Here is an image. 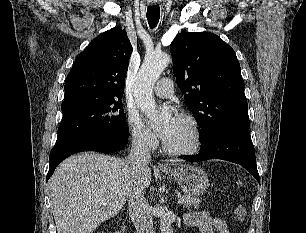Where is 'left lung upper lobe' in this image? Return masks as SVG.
<instances>
[{
    "label": "left lung upper lobe",
    "mask_w": 306,
    "mask_h": 233,
    "mask_svg": "<svg viewBox=\"0 0 306 233\" xmlns=\"http://www.w3.org/2000/svg\"><path fill=\"white\" fill-rule=\"evenodd\" d=\"M170 51L178 86L198 120L201 143L221 131L249 129L240 64L229 45L210 32H183Z\"/></svg>",
    "instance_id": "obj_1"
}]
</instances>
